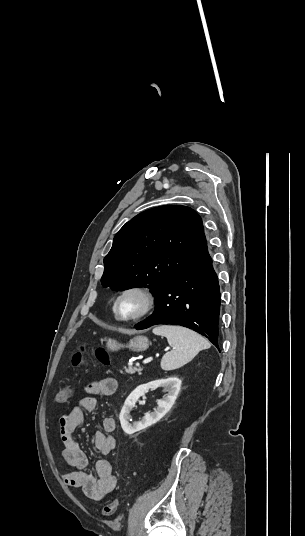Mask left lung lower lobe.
<instances>
[{
  "label": "left lung lower lobe",
  "instance_id": "0a47b994",
  "mask_svg": "<svg viewBox=\"0 0 305 536\" xmlns=\"http://www.w3.org/2000/svg\"><path fill=\"white\" fill-rule=\"evenodd\" d=\"M220 291L207 245L155 295V311L136 329L157 324L181 325L204 335L218 346Z\"/></svg>",
  "mask_w": 305,
  "mask_h": 536
}]
</instances>
